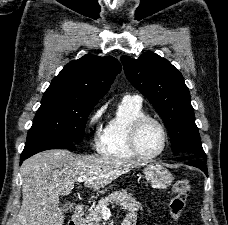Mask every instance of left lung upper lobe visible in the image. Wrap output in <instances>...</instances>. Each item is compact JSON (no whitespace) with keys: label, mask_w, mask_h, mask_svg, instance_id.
Listing matches in <instances>:
<instances>
[{"label":"left lung upper lobe","mask_w":228,"mask_h":225,"mask_svg":"<svg viewBox=\"0 0 228 225\" xmlns=\"http://www.w3.org/2000/svg\"><path fill=\"white\" fill-rule=\"evenodd\" d=\"M121 61L130 83L149 99L163 119L173 153L206 159L182 74L168 60L152 52L138 59L122 56Z\"/></svg>","instance_id":"obj_1"}]
</instances>
